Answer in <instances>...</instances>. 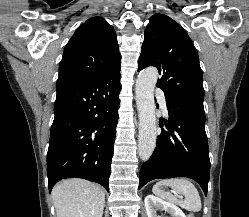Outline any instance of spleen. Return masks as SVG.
I'll return each mask as SVG.
<instances>
[{
  "instance_id": "spleen-1",
  "label": "spleen",
  "mask_w": 249,
  "mask_h": 217,
  "mask_svg": "<svg viewBox=\"0 0 249 217\" xmlns=\"http://www.w3.org/2000/svg\"><path fill=\"white\" fill-rule=\"evenodd\" d=\"M161 186H170L176 192L183 194L185 196L184 200H178L169 192H164L160 189ZM153 193L162 197L163 199L178 204L182 208L198 212L201 210V198L199 196L198 190L189 180L184 178H170L159 181L153 186Z\"/></svg>"
}]
</instances>
